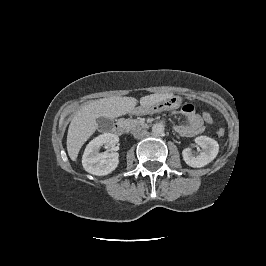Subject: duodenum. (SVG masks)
Returning a JSON list of instances; mask_svg holds the SVG:
<instances>
[{
	"label": "duodenum",
	"instance_id": "1",
	"mask_svg": "<svg viewBox=\"0 0 266 266\" xmlns=\"http://www.w3.org/2000/svg\"><path fill=\"white\" fill-rule=\"evenodd\" d=\"M116 133L122 134L125 130V123L123 121H117L114 125Z\"/></svg>",
	"mask_w": 266,
	"mask_h": 266
}]
</instances>
